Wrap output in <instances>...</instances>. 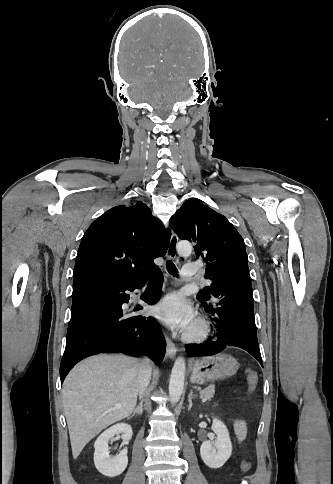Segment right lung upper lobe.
<instances>
[{
    "mask_svg": "<svg viewBox=\"0 0 333 484\" xmlns=\"http://www.w3.org/2000/svg\"><path fill=\"white\" fill-rule=\"evenodd\" d=\"M171 232L142 202L116 206L84 234L74 267L73 286L94 281L130 284L149 275L154 259L165 255Z\"/></svg>",
    "mask_w": 333,
    "mask_h": 484,
    "instance_id": "cb5924a9",
    "label": "right lung upper lobe"
}]
</instances>
